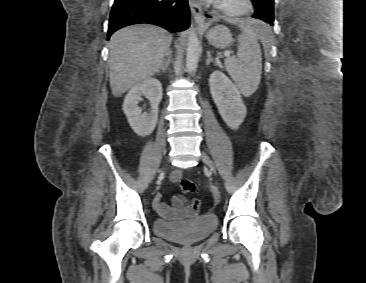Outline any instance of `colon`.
Wrapping results in <instances>:
<instances>
[{
  "label": "colon",
  "mask_w": 366,
  "mask_h": 283,
  "mask_svg": "<svg viewBox=\"0 0 366 283\" xmlns=\"http://www.w3.org/2000/svg\"><path fill=\"white\" fill-rule=\"evenodd\" d=\"M179 188L181 192L185 195L193 194L196 190V185L193 181L188 179H183L180 181ZM199 207V202L197 200H193L189 206V213L194 215L197 212Z\"/></svg>",
  "instance_id": "5ec220e1"
}]
</instances>
